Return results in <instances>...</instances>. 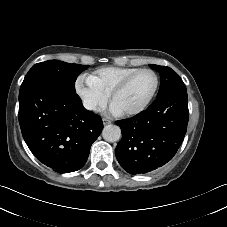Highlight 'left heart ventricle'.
<instances>
[{"mask_svg":"<svg viewBox=\"0 0 227 227\" xmlns=\"http://www.w3.org/2000/svg\"><path fill=\"white\" fill-rule=\"evenodd\" d=\"M155 84L151 73H142L130 83L128 88L116 96L114 102L122 111L133 110L142 105L150 95Z\"/></svg>","mask_w":227,"mask_h":227,"instance_id":"b2bd125f","label":"left heart ventricle"}]
</instances>
